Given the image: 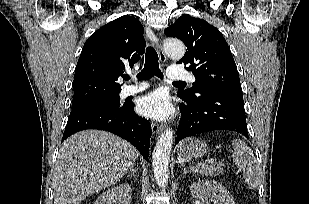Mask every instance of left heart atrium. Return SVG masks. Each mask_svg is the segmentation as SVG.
<instances>
[{"mask_svg": "<svg viewBox=\"0 0 309 204\" xmlns=\"http://www.w3.org/2000/svg\"><path fill=\"white\" fill-rule=\"evenodd\" d=\"M138 111L155 120H165L173 113L169 96L163 91L152 92L139 100Z\"/></svg>", "mask_w": 309, "mask_h": 204, "instance_id": "obj_1", "label": "left heart atrium"}]
</instances>
